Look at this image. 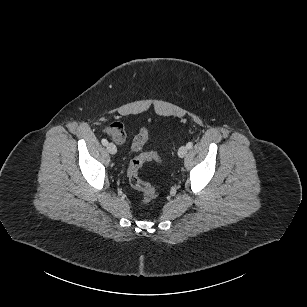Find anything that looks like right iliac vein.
<instances>
[{
    "instance_id": "63e3f726",
    "label": "right iliac vein",
    "mask_w": 307,
    "mask_h": 307,
    "mask_svg": "<svg viewBox=\"0 0 307 307\" xmlns=\"http://www.w3.org/2000/svg\"><path fill=\"white\" fill-rule=\"evenodd\" d=\"M107 150L112 155L116 154V152H117V148L113 143L107 144Z\"/></svg>"
}]
</instances>
